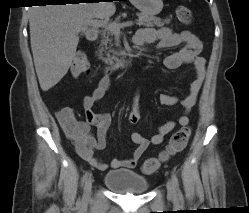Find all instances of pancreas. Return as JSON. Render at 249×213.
I'll return each instance as SVG.
<instances>
[{
	"label": "pancreas",
	"mask_w": 249,
	"mask_h": 213,
	"mask_svg": "<svg viewBox=\"0 0 249 213\" xmlns=\"http://www.w3.org/2000/svg\"><path fill=\"white\" fill-rule=\"evenodd\" d=\"M136 15L138 16L137 25L139 26L162 27L165 24L170 23V19L163 20L155 16H150L143 13H137ZM112 24H120V23L119 20L117 19L114 22H112ZM100 35H101V41L99 49V58L102 59L106 64L113 65L114 61H118L117 51L111 49V47L113 46L112 41H113L114 32L110 29L105 28L101 30ZM108 44L110 46H108ZM103 53H105V56ZM111 53L113 55H111Z\"/></svg>",
	"instance_id": "pancreas-1"
}]
</instances>
